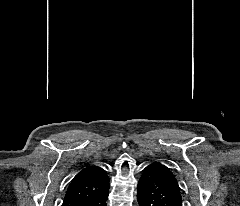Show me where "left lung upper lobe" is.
<instances>
[{
    "mask_svg": "<svg viewBox=\"0 0 240 206\" xmlns=\"http://www.w3.org/2000/svg\"><path fill=\"white\" fill-rule=\"evenodd\" d=\"M164 167L167 170V172L169 173L176 190L180 193V188H179L178 182H177L176 177L174 176L173 172L167 166L164 165Z\"/></svg>",
    "mask_w": 240,
    "mask_h": 206,
    "instance_id": "1",
    "label": "left lung upper lobe"
}]
</instances>
